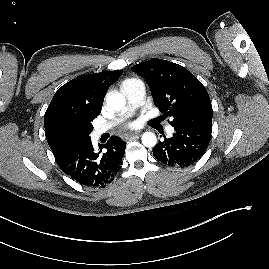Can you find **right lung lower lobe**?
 Returning a JSON list of instances; mask_svg holds the SVG:
<instances>
[{
    "mask_svg": "<svg viewBox=\"0 0 269 269\" xmlns=\"http://www.w3.org/2000/svg\"><path fill=\"white\" fill-rule=\"evenodd\" d=\"M100 151L94 152L92 142L55 157L61 170L79 184L87 187H104L112 182L122 165L126 143L112 136ZM105 152L100 154L102 149Z\"/></svg>",
    "mask_w": 269,
    "mask_h": 269,
    "instance_id": "right-lung-lower-lobe-1",
    "label": "right lung lower lobe"
}]
</instances>
